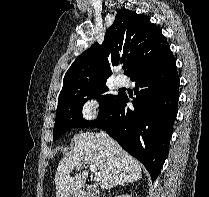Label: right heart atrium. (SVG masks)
Listing matches in <instances>:
<instances>
[{
  "mask_svg": "<svg viewBox=\"0 0 209 197\" xmlns=\"http://www.w3.org/2000/svg\"><path fill=\"white\" fill-rule=\"evenodd\" d=\"M98 111V103L93 98H87L81 105V114L86 119H92L96 116Z\"/></svg>",
  "mask_w": 209,
  "mask_h": 197,
  "instance_id": "obj_1",
  "label": "right heart atrium"
}]
</instances>
